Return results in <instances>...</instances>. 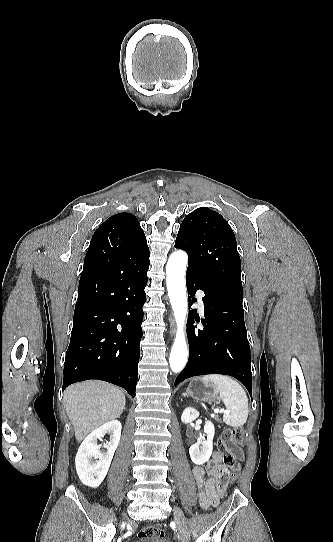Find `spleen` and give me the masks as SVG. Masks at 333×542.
<instances>
[{"mask_svg":"<svg viewBox=\"0 0 333 542\" xmlns=\"http://www.w3.org/2000/svg\"><path fill=\"white\" fill-rule=\"evenodd\" d=\"M204 384H214L227 414H223V422L231 428H241L248 420V398L242 386L229 376L210 374L202 378Z\"/></svg>","mask_w":333,"mask_h":542,"instance_id":"1","label":"spleen"}]
</instances>
